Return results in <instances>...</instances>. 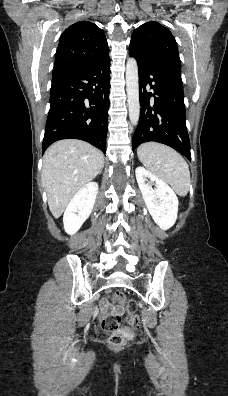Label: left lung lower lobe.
<instances>
[{"label":"left lung lower lobe","mask_w":228,"mask_h":396,"mask_svg":"<svg viewBox=\"0 0 228 396\" xmlns=\"http://www.w3.org/2000/svg\"><path fill=\"white\" fill-rule=\"evenodd\" d=\"M129 54L138 63L141 106L132 139L133 151L142 143L155 141L191 160L181 70L143 59L131 50ZM147 88L153 92H147Z\"/></svg>","instance_id":"obj_1"}]
</instances>
